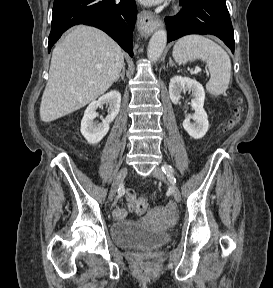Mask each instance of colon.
<instances>
[{
  "mask_svg": "<svg viewBox=\"0 0 273 288\" xmlns=\"http://www.w3.org/2000/svg\"><path fill=\"white\" fill-rule=\"evenodd\" d=\"M242 113H243V107L241 105V102H239L235 111H234L233 116L226 123L224 130L229 131V130L233 129L235 126H237L239 124V122L241 121ZM133 207H134V211L137 214H144L148 209V203L144 199H136L134 201Z\"/></svg>",
  "mask_w": 273,
  "mask_h": 288,
  "instance_id": "obj_1",
  "label": "colon"
}]
</instances>
